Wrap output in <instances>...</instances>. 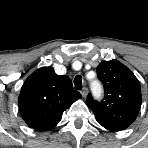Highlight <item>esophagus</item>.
I'll list each match as a JSON object with an SVG mask.
<instances>
[{"label":"esophagus","instance_id":"34e87169","mask_svg":"<svg viewBox=\"0 0 148 148\" xmlns=\"http://www.w3.org/2000/svg\"><path fill=\"white\" fill-rule=\"evenodd\" d=\"M81 94H82L83 97H86L87 94H88V89H87L86 87H84V88L82 89V91H81Z\"/></svg>","mask_w":148,"mask_h":148}]
</instances>
